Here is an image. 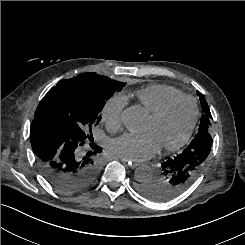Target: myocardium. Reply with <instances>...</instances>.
Returning <instances> with one entry per match:
<instances>
[{
	"label": "myocardium",
	"mask_w": 245,
	"mask_h": 245,
	"mask_svg": "<svg viewBox=\"0 0 245 245\" xmlns=\"http://www.w3.org/2000/svg\"><path fill=\"white\" fill-rule=\"evenodd\" d=\"M183 100L191 101L193 106H194V113H193L192 121H191L186 133L184 134V136L178 142H176L172 145L161 147V150H163V151H167V152L176 151L188 143V141L190 140V138L194 132V129L196 127V124H197L198 118H199V114H200L198 101L195 97L190 96V95L178 96V97H175V98H172V99L166 101L159 108H157L155 111L149 113V115H148V117L150 119L157 120V119L161 118L173 105H175L176 103L183 101Z\"/></svg>",
	"instance_id": "1"
}]
</instances>
